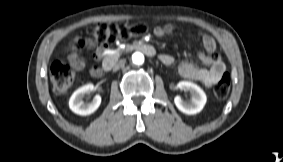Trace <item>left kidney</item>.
<instances>
[{"label":"left kidney","mask_w":283,"mask_h":162,"mask_svg":"<svg viewBox=\"0 0 283 162\" xmlns=\"http://www.w3.org/2000/svg\"><path fill=\"white\" fill-rule=\"evenodd\" d=\"M177 87L181 90L188 91L191 94V99L183 100L180 96H176L174 98L176 107L188 115L199 113L207 101L205 92L198 85L189 81H181Z\"/></svg>","instance_id":"1"}]
</instances>
